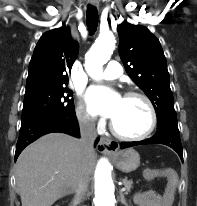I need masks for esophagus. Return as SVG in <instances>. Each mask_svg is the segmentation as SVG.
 <instances>
[{"label":"esophagus","mask_w":197,"mask_h":206,"mask_svg":"<svg viewBox=\"0 0 197 206\" xmlns=\"http://www.w3.org/2000/svg\"><path fill=\"white\" fill-rule=\"evenodd\" d=\"M90 4L98 7V0H90ZM98 149L107 154H113L119 149V143L106 137H102L98 144Z\"/></svg>","instance_id":"1"}]
</instances>
